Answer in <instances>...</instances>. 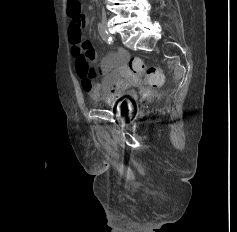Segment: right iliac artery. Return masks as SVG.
I'll use <instances>...</instances> for the list:
<instances>
[{
    "label": "right iliac artery",
    "instance_id": "1",
    "mask_svg": "<svg viewBox=\"0 0 237 232\" xmlns=\"http://www.w3.org/2000/svg\"><path fill=\"white\" fill-rule=\"evenodd\" d=\"M98 31H99L100 36L105 42H107L108 44L113 43L112 37L110 36V34L107 32V30L105 29L103 25L98 26Z\"/></svg>",
    "mask_w": 237,
    "mask_h": 232
}]
</instances>
